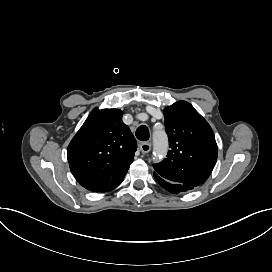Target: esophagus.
<instances>
[{"instance_id": "esophagus-1", "label": "esophagus", "mask_w": 272, "mask_h": 272, "mask_svg": "<svg viewBox=\"0 0 272 272\" xmlns=\"http://www.w3.org/2000/svg\"><path fill=\"white\" fill-rule=\"evenodd\" d=\"M140 150L142 153H148L151 150V145L149 143H143L140 145Z\"/></svg>"}]
</instances>
